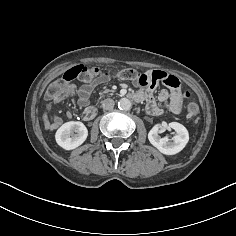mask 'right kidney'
<instances>
[{
  "label": "right kidney",
  "instance_id": "obj_1",
  "mask_svg": "<svg viewBox=\"0 0 236 236\" xmlns=\"http://www.w3.org/2000/svg\"><path fill=\"white\" fill-rule=\"evenodd\" d=\"M87 136L88 130L82 122L70 121L57 130L55 139L63 149L72 150L83 144Z\"/></svg>",
  "mask_w": 236,
  "mask_h": 236
}]
</instances>
